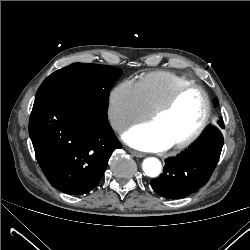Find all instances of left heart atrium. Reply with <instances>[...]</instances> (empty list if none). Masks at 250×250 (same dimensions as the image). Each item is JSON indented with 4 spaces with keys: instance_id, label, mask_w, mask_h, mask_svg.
<instances>
[{
    "instance_id": "left-heart-atrium-1",
    "label": "left heart atrium",
    "mask_w": 250,
    "mask_h": 250,
    "mask_svg": "<svg viewBox=\"0 0 250 250\" xmlns=\"http://www.w3.org/2000/svg\"><path fill=\"white\" fill-rule=\"evenodd\" d=\"M123 139L129 145L145 151H162L172 145L153 123L131 128L123 135Z\"/></svg>"
}]
</instances>
